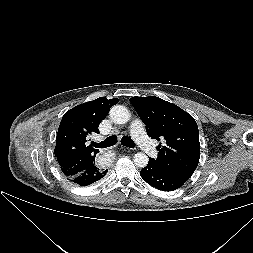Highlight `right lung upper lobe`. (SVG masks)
<instances>
[{
    "instance_id": "obj_1",
    "label": "right lung upper lobe",
    "mask_w": 253,
    "mask_h": 253,
    "mask_svg": "<svg viewBox=\"0 0 253 253\" xmlns=\"http://www.w3.org/2000/svg\"><path fill=\"white\" fill-rule=\"evenodd\" d=\"M118 102L117 98L100 97L64 114L57 133L55 156L66 177L76 176L95 164L98 150L89 145V137L98 133L100 122Z\"/></svg>"
}]
</instances>
